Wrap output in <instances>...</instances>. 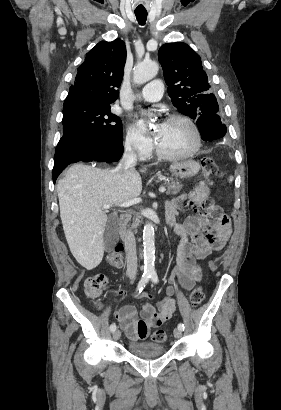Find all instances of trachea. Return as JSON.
Instances as JSON below:
<instances>
[{
  "instance_id": "3493384b",
  "label": "trachea",
  "mask_w": 281,
  "mask_h": 410,
  "mask_svg": "<svg viewBox=\"0 0 281 410\" xmlns=\"http://www.w3.org/2000/svg\"><path fill=\"white\" fill-rule=\"evenodd\" d=\"M136 18L140 25H144L147 19V12H135Z\"/></svg>"
}]
</instances>
